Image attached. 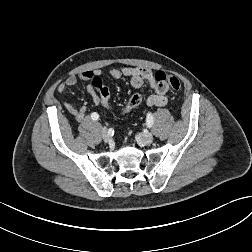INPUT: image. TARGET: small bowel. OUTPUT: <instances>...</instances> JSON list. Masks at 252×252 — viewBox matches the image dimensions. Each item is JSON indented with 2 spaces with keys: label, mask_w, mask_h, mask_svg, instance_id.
I'll return each instance as SVG.
<instances>
[{
  "label": "small bowel",
  "mask_w": 252,
  "mask_h": 252,
  "mask_svg": "<svg viewBox=\"0 0 252 252\" xmlns=\"http://www.w3.org/2000/svg\"><path fill=\"white\" fill-rule=\"evenodd\" d=\"M96 72L83 71L78 75L70 76L65 82L61 83L57 87L58 94L63 98V105L65 109L73 115L77 122H82L86 116L87 108L82 105L75 107L66 99L64 94L67 88L73 87L77 84L78 80L90 81L94 78ZM110 75L114 79L129 78L130 84L134 89H140L144 82H147L149 87L154 91L147 100L146 103L149 107H162L168 102L169 86L165 82H158L155 79V74L148 68L144 67H122L113 68L110 70ZM87 93L89 94L92 102L96 105H100V98L94 89L92 84H88Z\"/></svg>",
  "instance_id": "obj_1"
}]
</instances>
